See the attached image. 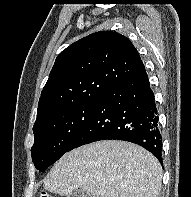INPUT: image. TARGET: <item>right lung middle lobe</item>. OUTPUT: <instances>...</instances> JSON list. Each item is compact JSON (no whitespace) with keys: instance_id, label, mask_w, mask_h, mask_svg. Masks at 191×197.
<instances>
[{"instance_id":"dd1d6c3e","label":"right lung middle lobe","mask_w":191,"mask_h":197,"mask_svg":"<svg viewBox=\"0 0 191 197\" xmlns=\"http://www.w3.org/2000/svg\"><path fill=\"white\" fill-rule=\"evenodd\" d=\"M97 101L71 106L53 113L33 127L32 160L39 171L56 162L76 139L96 108Z\"/></svg>"}]
</instances>
